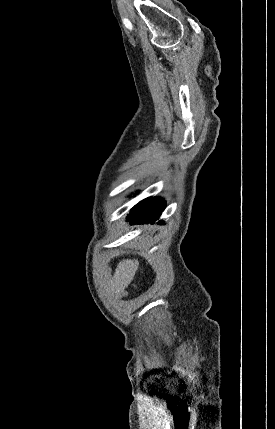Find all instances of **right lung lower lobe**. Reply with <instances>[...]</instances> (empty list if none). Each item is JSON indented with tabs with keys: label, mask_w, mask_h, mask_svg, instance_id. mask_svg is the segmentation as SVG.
Listing matches in <instances>:
<instances>
[{
	"label": "right lung lower lobe",
	"mask_w": 275,
	"mask_h": 429,
	"mask_svg": "<svg viewBox=\"0 0 275 429\" xmlns=\"http://www.w3.org/2000/svg\"><path fill=\"white\" fill-rule=\"evenodd\" d=\"M165 201L160 197L147 198L139 202L128 215L130 224L152 223L159 219L164 210Z\"/></svg>",
	"instance_id": "obj_1"
}]
</instances>
